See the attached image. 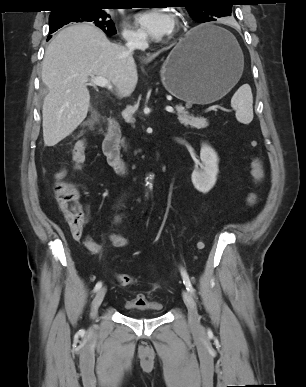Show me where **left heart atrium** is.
<instances>
[{"instance_id": "39dd6f15", "label": "left heart atrium", "mask_w": 306, "mask_h": 387, "mask_svg": "<svg viewBox=\"0 0 306 387\" xmlns=\"http://www.w3.org/2000/svg\"><path fill=\"white\" fill-rule=\"evenodd\" d=\"M136 24L141 31L152 38H162L174 29L173 18L162 9H152L139 14Z\"/></svg>"}]
</instances>
